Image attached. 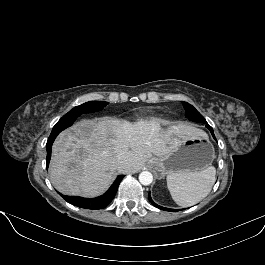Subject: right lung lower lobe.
I'll return each mask as SVG.
<instances>
[{
    "instance_id": "98d812e1",
    "label": "right lung lower lobe",
    "mask_w": 265,
    "mask_h": 265,
    "mask_svg": "<svg viewBox=\"0 0 265 265\" xmlns=\"http://www.w3.org/2000/svg\"><path fill=\"white\" fill-rule=\"evenodd\" d=\"M76 119L77 118H74L68 121V123H63L60 125L56 124L53 127L52 132L46 143V149H47L46 166L47 167L49 165V161L51 158L52 144L55 138L62 130L71 126ZM123 177L124 175H119L114 181V183L111 185V187L103 195L96 197V198L89 199V198H83V197H77V196H66V195H61V196L67 202L77 207L86 208V209H103L113 200L117 192L118 186L121 180L123 179Z\"/></svg>"
}]
</instances>
